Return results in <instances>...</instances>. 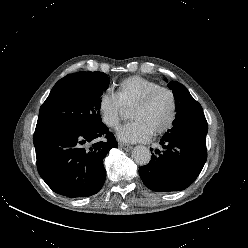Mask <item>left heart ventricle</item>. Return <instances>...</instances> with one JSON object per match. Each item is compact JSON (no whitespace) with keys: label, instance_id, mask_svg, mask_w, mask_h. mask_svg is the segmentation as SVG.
I'll list each match as a JSON object with an SVG mask.
<instances>
[{"label":"left heart ventricle","instance_id":"left-heart-ventricle-1","mask_svg":"<svg viewBox=\"0 0 248 248\" xmlns=\"http://www.w3.org/2000/svg\"><path fill=\"white\" fill-rule=\"evenodd\" d=\"M171 112V99L165 92L158 93L153 100L143 108H132L130 117L145 123L153 132L163 126Z\"/></svg>","mask_w":248,"mask_h":248}]
</instances>
